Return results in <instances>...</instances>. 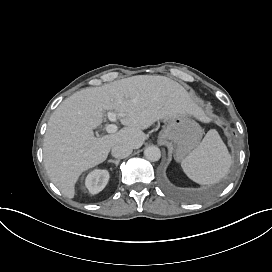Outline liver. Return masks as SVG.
<instances>
[{
    "label": "liver",
    "mask_w": 272,
    "mask_h": 272,
    "mask_svg": "<svg viewBox=\"0 0 272 272\" xmlns=\"http://www.w3.org/2000/svg\"><path fill=\"white\" fill-rule=\"evenodd\" d=\"M109 111L125 114L120 118L124 128L95 137L93 130ZM187 116L203 121L184 88L167 77L138 75L82 89L65 99L48 121L46 172L61 193L73 199L81 174L103 163L113 146L124 143L139 149L146 140L143 130L160 120Z\"/></svg>",
    "instance_id": "liver-1"
}]
</instances>
